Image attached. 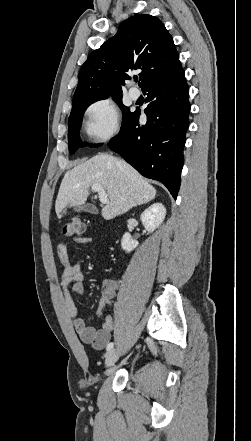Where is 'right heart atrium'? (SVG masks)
Listing matches in <instances>:
<instances>
[{
  "mask_svg": "<svg viewBox=\"0 0 251 441\" xmlns=\"http://www.w3.org/2000/svg\"><path fill=\"white\" fill-rule=\"evenodd\" d=\"M84 126L92 142H104L115 136L120 130V114L114 100L102 98L89 105Z\"/></svg>",
  "mask_w": 251,
  "mask_h": 441,
  "instance_id": "obj_1",
  "label": "right heart atrium"
}]
</instances>
